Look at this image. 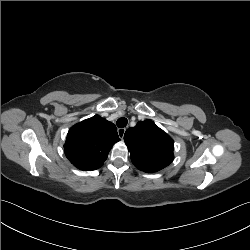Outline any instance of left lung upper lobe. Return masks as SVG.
Wrapping results in <instances>:
<instances>
[{"instance_id":"obj_1","label":"left lung upper lobe","mask_w":250,"mask_h":250,"mask_svg":"<svg viewBox=\"0 0 250 250\" xmlns=\"http://www.w3.org/2000/svg\"><path fill=\"white\" fill-rule=\"evenodd\" d=\"M124 141L132 163L144 172L159 171L174 159V141L151 120L139 121L128 128Z\"/></svg>"}]
</instances>
